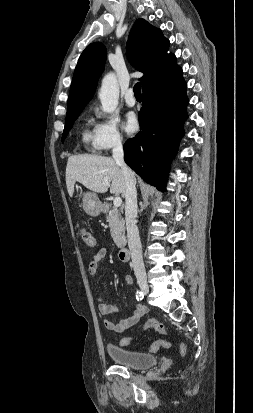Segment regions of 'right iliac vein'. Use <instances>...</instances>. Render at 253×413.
Returning <instances> with one entry per match:
<instances>
[{
    "label": "right iliac vein",
    "instance_id": "obj_1",
    "mask_svg": "<svg viewBox=\"0 0 253 413\" xmlns=\"http://www.w3.org/2000/svg\"><path fill=\"white\" fill-rule=\"evenodd\" d=\"M138 284H139V287H140L141 291H142L144 294H148V292H149V286H148L147 281L144 280V279H140V280L138 281Z\"/></svg>",
    "mask_w": 253,
    "mask_h": 413
}]
</instances>
